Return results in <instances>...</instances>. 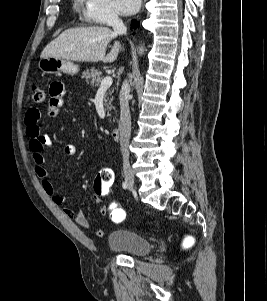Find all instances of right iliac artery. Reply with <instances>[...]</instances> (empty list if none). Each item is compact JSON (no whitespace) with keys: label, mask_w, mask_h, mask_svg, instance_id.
I'll use <instances>...</instances> for the list:
<instances>
[{"label":"right iliac artery","mask_w":267,"mask_h":301,"mask_svg":"<svg viewBox=\"0 0 267 301\" xmlns=\"http://www.w3.org/2000/svg\"><path fill=\"white\" fill-rule=\"evenodd\" d=\"M127 186H128L127 183H126V182H123L122 187H123L124 189H126Z\"/></svg>","instance_id":"right-iliac-artery-1"}]
</instances>
